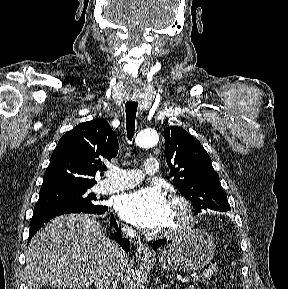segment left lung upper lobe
<instances>
[{
	"mask_svg": "<svg viewBox=\"0 0 288 289\" xmlns=\"http://www.w3.org/2000/svg\"><path fill=\"white\" fill-rule=\"evenodd\" d=\"M164 137L170 176L174 177L177 189L193 203L197 212L230 210L219 176L200 142L179 127L166 128Z\"/></svg>",
	"mask_w": 288,
	"mask_h": 289,
	"instance_id": "obj_1",
	"label": "left lung upper lobe"
}]
</instances>
